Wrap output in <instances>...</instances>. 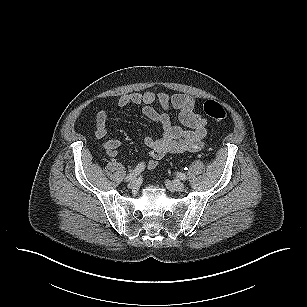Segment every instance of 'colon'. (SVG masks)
Listing matches in <instances>:
<instances>
[{
  "label": "colon",
  "mask_w": 307,
  "mask_h": 307,
  "mask_svg": "<svg viewBox=\"0 0 307 307\" xmlns=\"http://www.w3.org/2000/svg\"><path fill=\"white\" fill-rule=\"evenodd\" d=\"M203 110L208 117L215 121H221L227 115L223 106L214 100H207L204 103Z\"/></svg>",
  "instance_id": "1"
}]
</instances>
